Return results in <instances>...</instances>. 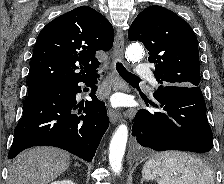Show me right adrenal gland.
Listing matches in <instances>:
<instances>
[{
    "label": "right adrenal gland",
    "mask_w": 224,
    "mask_h": 184,
    "mask_svg": "<svg viewBox=\"0 0 224 184\" xmlns=\"http://www.w3.org/2000/svg\"><path fill=\"white\" fill-rule=\"evenodd\" d=\"M74 166H80V164L77 162V163L74 164Z\"/></svg>",
    "instance_id": "obj_1"
}]
</instances>
